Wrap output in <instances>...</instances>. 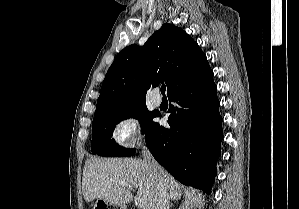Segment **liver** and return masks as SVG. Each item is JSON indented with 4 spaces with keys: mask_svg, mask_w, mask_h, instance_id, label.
<instances>
[{
    "mask_svg": "<svg viewBox=\"0 0 299 209\" xmlns=\"http://www.w3.org/2000/svg\"><path fill=\"white\" fill-rule=\"evenodd\" d=\"M163 178L169 198L176 199L183 186L165 170ZM119 181L126 182L127 186L120 185ZM157 184L148 164L136 158H89L84 165L82 192L86 202L103 199L125 206L133 199L130 186L138 188L139 208L153 209L158 195Z\"/></svg>",
    "mask_w": 299,
    "mask_h": 209,
    "instance_id": "1",
    "label": "liver"
}]
</instances>
